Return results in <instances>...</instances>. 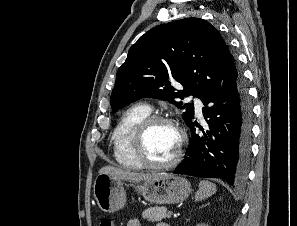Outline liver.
Segmentation results:
<instances>
[{"mask_svg": "<svg viewBox=\"0 0 297 226\" xmlns=\"http://www.w3.org/2000/svg\"><path fill=\"white\" fill-rule=\"evenodd\" d=\"M99 174H109L113 176L115 179L135 181V182L153 180L164 175V174H146V173L131 172V171H126L113 166L102 167L99 170Z\"/></svg>", "mask_w": 297, "mask_h": 226, "instance_id": "obj_1", "label": "liver"}]
</instances>
